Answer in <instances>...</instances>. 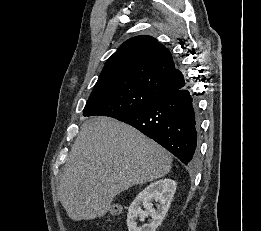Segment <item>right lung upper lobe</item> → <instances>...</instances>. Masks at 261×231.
I'll return each instance as SVG.
<instances>
[{
	"label": "right lung upper lobe",
	"instance_id": "obj_1",
	"mask_svg": "<svg viewBox=\"0 0 261 231\" xmlns=\"http://www.w3.org/2000/svg\"><path fill=\"white\" fill-rule=\"evenodd\" d=\"M185 84L169 50L142 35L124 42L107 60L93 92L135 86L160 98Z\"/></svg>",
	"mask_w": 261,
	"mask_h": 231
}]
</instances>
